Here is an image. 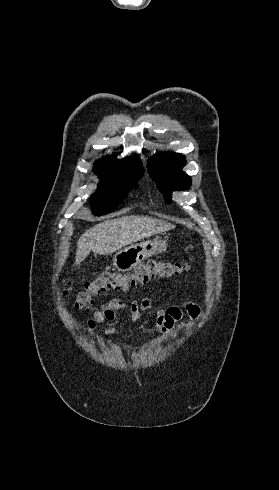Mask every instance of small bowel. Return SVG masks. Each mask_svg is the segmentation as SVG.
<instances>
[{
    "instance_id": "obj_1",
    "label": "small bowel",
    "mask_w": 279,
    "mask_h": 490,
    "mask_svg": "<svg viewBox=\"0 0 279 490\" xmlns=\"http://www.w3.org/2000/svg\"><path fill=\"white\" fill-rule=\"evenodd\" d=\"M157 302L151 298L141 299L112 300L96 310L92 316L87 319L83 332L92 339L94 338V329L98 324H103L110 328L120 317V312L129 306L130 317L134 321L142 318L143 312L156 307L155 331L160 335H168L178 324L179 331H184L191 326V323L198 321L201 317L200 308L191 302L184 303L182 306L168 304L166 306H156ZM189 317V319L186 318Z\"/></svg>"
}]
</instances>
